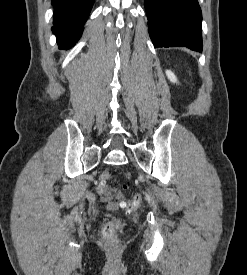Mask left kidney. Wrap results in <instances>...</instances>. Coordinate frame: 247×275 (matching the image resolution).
Here are the masks:
<instances>
[{"instance_id":"left-kidney-1","label":"left kidney","mask_w":247,"mask_h":275,"mask_svg":"<svg viewBox=\"0 0 247 275\" xmlns=\"http://www.w3.org/2000/svg\"><path fill=\"white\" fill-rule=\"evenodd\" d=\"M166 76L168 77V79L173 82V83H177V78L174 75V73L170 70H166Z\"/></svg>"}]
</instances>
